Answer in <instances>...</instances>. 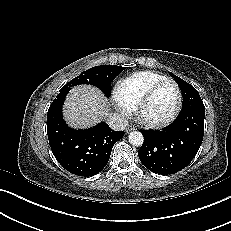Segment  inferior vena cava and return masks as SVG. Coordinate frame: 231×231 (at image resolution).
I'll list each match as a JSON object with an SVG mask.
<instances>
[{"label":"inferior vena cava","mask_w":231,"mask_h":231,"mask_svg":"<svg viewBox=\"0 0 231 231\" xmlns=\"http://www.w3.org/2000/svg\"><path fill=\"white\" fill-rule=\"evenodd\" d=\"M106 123L115 131H122L128 125V120L119 113H111L106 119Z\"/></svg>","instance_id":"inferior-vena-cava-1"}]
</instances>
